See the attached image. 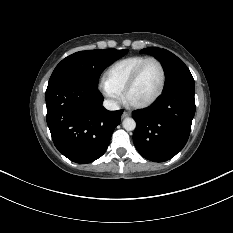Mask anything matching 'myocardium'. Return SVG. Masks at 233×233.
Masks as SVG:
<instances>
[{"label": "myocardium", "instance_id": "obj_1", "mask_svg": "<svg viewBox=\"0 0 233 233\" xmlns=\"http://www.w3.org/2000/svg\"><path fill=\"white\" fill-rule=\"evenodd\" d=\"M151 62L158 64V66L160 67V70H161V85L159 87V90L151 99H149L143 103H137V104L131 103L128 99V95H129L131 89L133 88V86L135 85V83L137 82V80L139 79L144 68ZM166 79H167V74H166V69H165V66L163 65V63L159 59L153 58V57L146 59L135 69V71L132 73V75L130 76V78L128 79V81L125 85L123 94H124V99H125L126 103L129 106L136 108V109H143V108H147V107L151 106L163 94L165 86H166Z\"/></svg>", "mask_w": 233, "mask_h": 233}]
</instances>
